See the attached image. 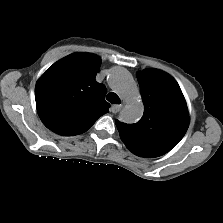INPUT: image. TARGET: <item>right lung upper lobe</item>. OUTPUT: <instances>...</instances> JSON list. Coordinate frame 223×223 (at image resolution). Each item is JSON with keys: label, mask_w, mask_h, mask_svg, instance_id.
<instances>
[{"label": "right lung upper lobe", "mask_w": 223, "mask_h": 223, "mask_svg": "<svg viewBox=\"0 0 223 223\" xmlns=\"http://www.w3.org/2000/svg\"><path fill=\"white\" fill-rule=\"evenodd\" d=\"M101 58L90 53L71 54L53 64L35 87L40 119L51 131L72 136L87 131L108 112L107 89L95 76Z\"/></svg>", "instance_id": "obj_1"}]
</instances>
